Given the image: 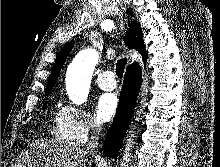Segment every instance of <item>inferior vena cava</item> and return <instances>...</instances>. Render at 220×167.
I'll list each match as a JSON object with an SVG mask.
<instances>
[{
    "label": "inferior vena cava",
    "mask_w": 220,
    "mask_h": 167,
    "mask_svg": "<svg viewBox=\"0 0 220 167\" xmlns=\"http://www.w3.org/2000/svg\"><path fill=\"white\" fill-rule=\"evenodd\" d=\"M90 128L93 131V135L91 136V141L88 143L86 147V151L92 153L95 148L98 146L99 140V126L95 122L90 123Z\"/></svg>",
    "instance_id": "602c4592"
}]
</instances>
